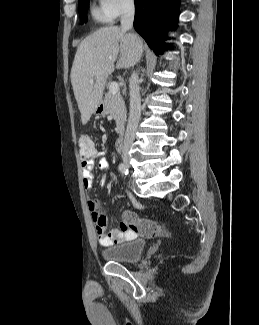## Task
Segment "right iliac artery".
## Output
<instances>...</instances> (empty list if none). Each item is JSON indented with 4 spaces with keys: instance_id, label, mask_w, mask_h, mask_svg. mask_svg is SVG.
Returning a JSON list of instances; mask_svg holds the SVG:
<instances>
[{
    "instance_id": "82829eb1",
    "label": "right iliac artery",
    "mask_w": 259,
    "mask_h": 325,
    "mask_svg": "<svg viewBox=\"0 0 259 325\" xmlns=\"http://www.w3.org/2000/svg\"><path fill=\"white\" fill-rule=\"evenodd\" d=\"M123 165H126V164H124V163H120V164H119V167H118V168H119L120 171L122 170V166H123Z\"/></svg>"
}]
</instances>
